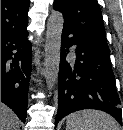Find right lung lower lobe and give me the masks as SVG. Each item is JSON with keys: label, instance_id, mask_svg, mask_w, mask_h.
<instances>
[{"label": "right lung lower lobe", "instance_id": "obj_1", "mask_svg": "<svg viewBox=\"0 0 123 130\" xmlns=\"http://www.w3.org/2000/svg\"><path fill=\"white\" fill-rule=\"evenodd\" d=\"M26 29L1 34V102L25 123L31 72V44Z\"/></svg>", "mask_w": 123, "mask_h": 130}]
</instances>
